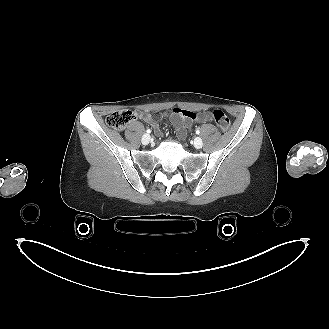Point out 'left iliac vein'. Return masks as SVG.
I'll return each mask as SVG.
<instances>
[{"mask_svg": "<svg viewBox=\"0 0 329 329\" xmlns=\"http://www.w3.org/2000/svg\"><path fill=\"white\" fill-rule=\"evenodd\" d=\"M203 146V141L201 138L197 137L194 139V147L197 148V149H200L202 148Z\"/></svg>", "mask_w": 329, "mask_h": 329, "instance_id": "obj_1", "label": "left iliac vein"}]
</instances>
